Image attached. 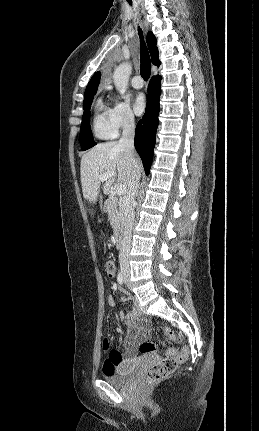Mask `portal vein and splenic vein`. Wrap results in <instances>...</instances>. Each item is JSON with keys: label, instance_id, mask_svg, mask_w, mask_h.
<instances>
[{"label": "portal vein and splenic vein", "instance_id": "obj_1", "mask_svg": "<svg viewBox=\"0 0 259 431\" xmlns=\"http://www.w3.org/2000/svg\"><path fill=\"white\" fill-rule=\"evenodd\" d=\"M114 176H115V172H114V171H107V172L103 173V174L99 177V179H100V181H101V182H104V181H106L107 179L112 178V177H114ZM126 192H127V189H126V186H125V185H119V186H117V188H116V193H117L118 195H120V196L125 195V194H126Z\"/></svg>", "mask_w": 259, "mask_h": 431}]
</instances>
